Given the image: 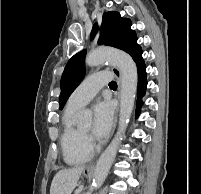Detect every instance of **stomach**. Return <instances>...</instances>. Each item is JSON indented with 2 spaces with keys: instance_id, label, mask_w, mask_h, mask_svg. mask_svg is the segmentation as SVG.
<instances>
[{
  "instance_id": "1",
  "label": "stomach",
  "mask_w": 201,
  "mask_h": 194,
  "mask_svg": "<svg viewBox=\"0 0 201 194\" xmlns=\"http://www.w3.org/2000/svg\"><path fill=\"white\" fill-rule=\"evenodd\" d=\"M87 176H89L90 175V170L89 169H87V174H86Z\"/></svg>"
}]
</instances>
